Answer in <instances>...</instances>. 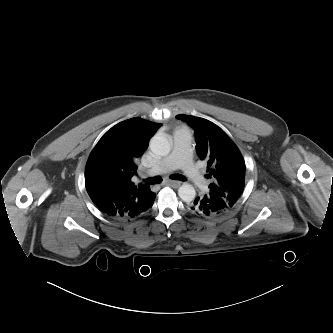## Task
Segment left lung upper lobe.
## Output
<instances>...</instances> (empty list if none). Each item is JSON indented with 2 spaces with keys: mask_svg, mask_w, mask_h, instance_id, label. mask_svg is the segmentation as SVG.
Returning <instances> with one entry per match:
<instances>
[{
  "mask_svg": "<svg viewBox=\"0 0 333 333\" xmlns=\"http://www.w3.org/2000/svg\"><path fill=\"white\" fill-rule=\"evenodd\" d=\"M176 118L195 130L197 154L207 161L209 174L206 177L212 179L209 193L221 197L230 210L245 184V162L239 149L220 127L206 119L186 114Z\"/></svg>",
  "mask_w": 333,
  "mask_h": 333,
  "instance_id": "obj_1",
  "label": "left lung upper lobe"
}]
</instances>
